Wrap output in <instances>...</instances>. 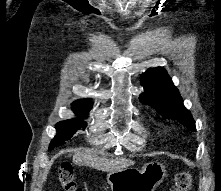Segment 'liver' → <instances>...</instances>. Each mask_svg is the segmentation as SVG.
Wrapping results in <instances>:
<instances>
[{
	"instance_id": "1",
	"label": "liver",
	"mask_w": 221,
	"mask_h": 191,
	"mask_svg": "<svg viewBox=\"0 0 221 191\" xmlns=\"http://www.w3.org/2000/svg\"><path fill=\"white\" fill-rule=\"evenodd\" d=\"M73 162L77 165L90 166L96 170L104 172H114L134 164L133 161L122 159H107L98 156L94 149H80L75 150L73 155Z\"/></svg>"
}]
</instances>
